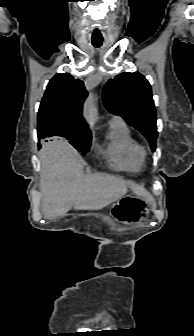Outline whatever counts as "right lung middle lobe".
<instances>
[{"mask_svg":"<svg viewBox=\"0 0 194 336\" xmlns=\"http://www.w3.org/2000/svg\"><path fill=\"white\" fill-rule=\"evenodd\" d=\"M65 138L79 151L87 152L91 143V136L87 135H70Z\"/></svg>","mask_w":194,"mask_h":336,"instance_id":"right-lung-middle-lobe-1","label":"right lung middle lobe"}]
</instances>
